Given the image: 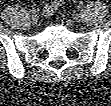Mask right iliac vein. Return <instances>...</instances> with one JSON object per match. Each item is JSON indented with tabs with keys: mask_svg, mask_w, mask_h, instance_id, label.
Returning a JSON list of instances; mask_svg holds the SVG:
<instances>
[{
	"mask_svg": "<svg viewBox=\"0 0 111 106\" xmlns=\"http://www.w3.org/2000/svg\"><path fill=\"white\" fill-rule=\"evenodd\" d=\"M37 22H38V17H37V15H32V16H31V23H32L33 25H35V24H37Z\"/></svg>",
	"mask_w": 111,
	"mask_h": 106,
	"instance_id": "obj_1",
	"label": "right iliac vein"
}]
</instances>
